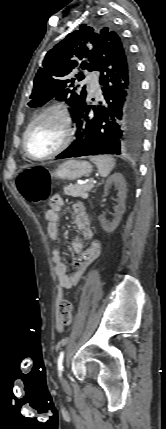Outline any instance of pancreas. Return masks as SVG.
Wrapping results in <instances>:
<instances>
[{
  "label": "pancreas",
  "instance_id": "pancreas-1",
  "mask_svg": "<svg viewBox=\"0 0 166 429\" xmlns=\"http://www.w3.org/2000/svg\"><path fill=\"white\" fill-rule=\"evenodd\" d=\"M94 188V183L88 182L87 184H70L64 188V193L68 196L81 197L86 199L88 193Z\"/></svg>",
  "mask_w": 166,
  "mask_h": 429
}]
</instances>
